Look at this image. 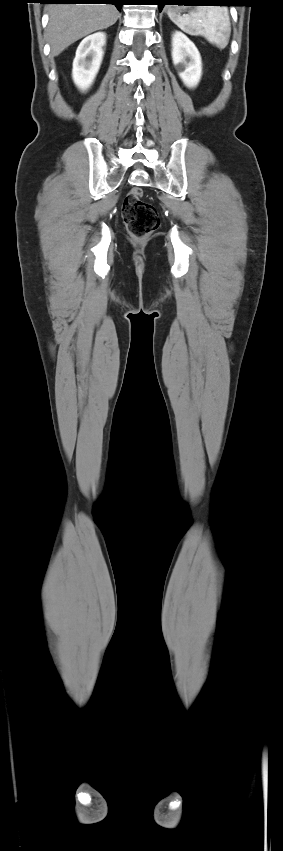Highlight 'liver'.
<instances>
[{"instance_id": "liver-1", "label": "liver", "mask_w": 283, "mask_h": 851, "mask_svg": "<svg viewBox=\"0 0 283 851\" xmlns=\"http://www.w3.org/2000/svg\"><path fill=\"white\" fill-rule=\"evenodd\" d=\"M47 38L55 57L77 40L116 23L119 12L107 4H55L49 6Z\"/></svg>"}]
</instances>
